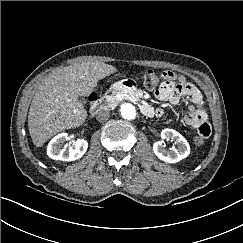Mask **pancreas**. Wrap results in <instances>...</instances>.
Returning <instances> with one entry per match:
<instances>
[{
	"label": "pancreas",
	"instance_id": "cf45deb5",
	"mask_svg": "<svg viewBox=\"0 0 243 243\" xmlns=\"http://www.w3.org/2000/svg\"><path fill=\"white\" fill-rule=\"evenodd\" d=\"M106 99H107V106L109 108L115 107L121 100V98L117 97L116 94L107 95Z\"/></svg>",
	"mask_w": 243,
	"mask_h": 243
}]
</instances>
